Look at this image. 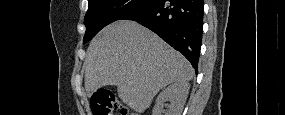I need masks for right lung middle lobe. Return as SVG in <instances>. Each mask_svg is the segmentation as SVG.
<instances>
[{
  "label": "right lung middle lobe",
  "instance_id": "obj_1",
  "mask_svg": "<svg viewBox=\"0 0 285 115\" xmlns=\"http://www.w3.org/2000/svg\"><path fill=\"white\" fill-rule=\"evenodd\" d=\"M153 0H88V11L84 18L86 32L83 42H88L109 23L122 19Z\"/></svg>",
  "mask_w": 285,
  "mask_h": 115
}]
</instances>
